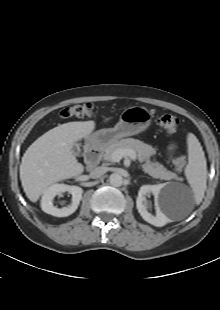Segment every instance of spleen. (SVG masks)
<instances>
[{
    "instance_id": "obj_1",
    "label": "spleen",
    "mask_w": 220,
    "mask_h": 310,
    "mask_svg": "<svg viewBox=\"0 0 220 310\" xmlns=\"http://www.w3.org/2000/svg\"><path fill=\"white\" fill-rule=\"evenodd\" d=\"M187 144L189 161L185 168V176L192 188L195 203L199 204L202 201L206 190V159L202 146L194 134H188Z\"/></svg>"
}]
</instances>
